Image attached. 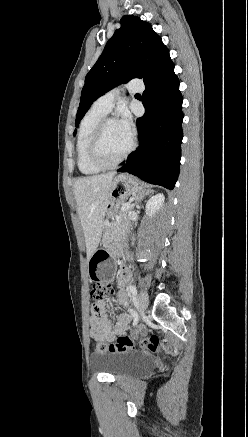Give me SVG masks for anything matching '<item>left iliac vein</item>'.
<instances>
[{
  "label": "left iliac vein",
  "mask_w": 248,
  "mask_h": 437,
  "mask_svg": "<svg viewBox=\"0 0 248 437\" xmlns=\"http://www.w3.org/2000/svg\"><path fill=\"white\" fill-rule=\"evenodd\" d=\"M149 304L148 294L144 291L139 292L138 294V305L141 313H144Z\"/></svg>",
  "instance_id": "obj_1"
}]
</instances>
